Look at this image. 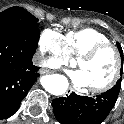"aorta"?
Returning a JSON list of instances; mask_svg holds the SVG:
<instances>
[{"mask_svg": "<svg viewBox=\"0 0 124 124\" xmlns=\"http://www.w3.org/2000/svg\"><path fill=\"white\" fill-rule=\"evenodd\" d=\"M44 88L52 95H62L68 89V80L59 74L51 75L44 82Z\"/></svg>", "mask_w": 124, "mask_h": 124, "instance_id": "1", "label": "aorta"}]
</instances>
